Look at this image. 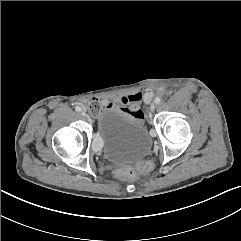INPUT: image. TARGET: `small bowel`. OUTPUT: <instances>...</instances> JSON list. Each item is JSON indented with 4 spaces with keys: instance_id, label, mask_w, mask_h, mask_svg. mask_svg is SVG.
Masks as SVG:
<instances>
[{
    "instance_id": "small-bowel-1",
    "label": "small bowel",
    "mask_w": 241,
    "mask_h": 241,
    "mask_svg": "<svg viewBox=\"0 0 241 241\" xmlns=\"http://www.w3.org/2000/svg\"><path fill=\"white\" fill-rule=\"evenodd\" d=\"M150 97V94L143 95L140 92H136L117 97L113 100V102L104 100L103 104L108 107L121 110L135 121H142L146 118L147 113L144 109L139 108V104L143 99L148 100Z\"/></svg>"
}]
</instances>
